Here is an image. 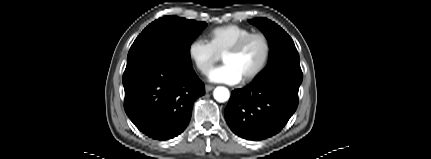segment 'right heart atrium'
Returning a JSON list of instances; mask_svg holds the SVG:
<instances>
[{
  "instance_id": "d8ad5b80",
  "label": "right heart atrium",
  "mask_w": 431,
  "mask_h": 159,
  "mask_svg": "<svg viewBox=\"0 0 431 159\" xmlns=\"http://www.w3.org/2000/svg\"><path fill=\"white\" fill-rule=\"evenodd\" d=\"M187 54L196 69L203 75H207L220 58L210 42L200 37L189 43Z\"/></svg>"
}]
</instances>
